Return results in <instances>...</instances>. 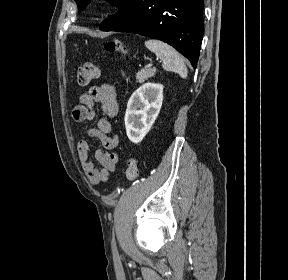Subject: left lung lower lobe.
<instances>
[{"label":"left lung lower lobe","instance_id":"obj_1","mask_svg":"<svg viewBox=\"0 0 288 280\" xmlns=\"http://www.w3.org/2000/svg\"><path fill=\"white\" fill-rule=\"evenodd\" d=\"M204 0H132L103 21L102 31L133 32L168 43L197 66L203 37Z\"/></svg>","mask_w":288,"mask_h":280}]
</instances>
